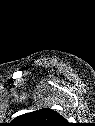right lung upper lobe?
<instances>
[{
    "label": "right lung upper lobe",
    "mask_w": 95,
    "mask_h": 126,
    "mask_svg": "<svg viewBox=\"0 0 95 126\" xmlns=\"http://www.w3.org/2000/svg\"><path fill=\"white\" fill-rule=\"evenodd\" d=\"M19 126H67L68 123L57 111L44 108L18 116L14 120Z\"/></svg>",
    "instance_id": "1"
}]
</instances>
